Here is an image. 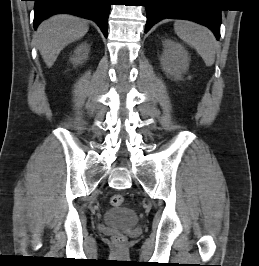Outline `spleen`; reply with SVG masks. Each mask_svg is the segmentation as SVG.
Instances as JSON below:
<instances>
[{
    "mask_svg": "<svg viewBox=\"0 0 259 266\" xmlns=\"http://www.w3.org/2000/svg\"><path fill=\"white\" fill-rule=\"evenodd\" d=\"M174 30L181 40L197 51L207 67L213 65L216 54V41L209 29L190 21L181 20L175 22Z\"/></svg>",
    "mask_w": 259,
    "mask_h": 266,
    "instance_id": "spleen-1",
    "label": "spleen"
}]
</instances>
